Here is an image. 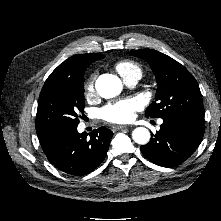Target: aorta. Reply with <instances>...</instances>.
Instances as JSON below:
<instances>
[{
    "label": "aorta",
    "instance_id": "1",
    "mask_svg": "<svg viewBox=\"0 0 221 221\" xmlns=\"http://www.w3.org/2000/svg\"><path fill=\"white\" fill-rule=\"evenodd\" d=\"M98 94L106 99L118 96L122 89V81L115 75L102 74L95 83ZM133 140L141 145L147 144L150 140V132L145 127H137L132 132Z\"/></svg>",
    "mask_w": 221,
    "mask_h": 221
}]
</instances>
